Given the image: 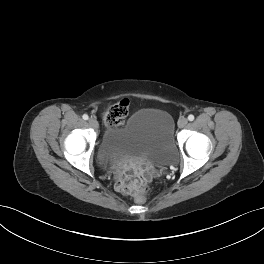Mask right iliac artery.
Here are the masks:
<instances>
[{
    "label": "right iliac artery",
    "instance_id": "82829eb1",
    "mask_svg": "<svg viewBox=\"0 0 264 264\" xmlns=\"http://www.w3.org/2000/svg\"><path fill=\"white\" fill-rule=\"evenodd\" d=\"M82 117L84 120H88V118H89L87 114H84Z\"/></svg>",
    "mask_w": 264,
    "mask_h": 264
}]
</instances>
